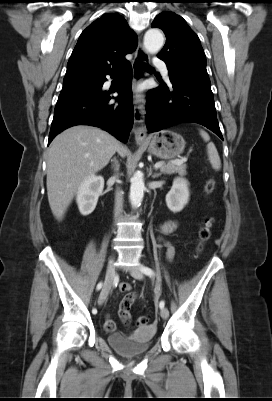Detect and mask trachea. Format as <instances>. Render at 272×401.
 <instances>
[{"mask_svg": "<svg viewBox=\"0 0 272 401\" xmlns=\"http://www.w3.org/2000/svg\"><path fill=\"white\" fill-rule=\"evenodd\" d=\"M144 69L145 70H154L151 66L149 65H144Z\"/></svg>", "mask_w": 272, "mask_h": 401, "instance_id": "trachea-1", "label": "trachea"}]
</instances>
